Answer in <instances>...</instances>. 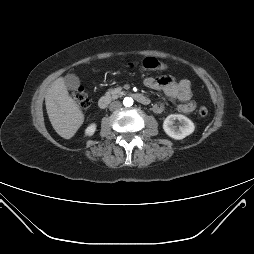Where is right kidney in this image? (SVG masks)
<instances>
[{"label":"right kidney","instance_id":"1","mask_svg":"<svg viewBox=\"0 0 254 254\" xmlns=\"http://www.w3.org/2000/svg\"><path fill=\"white\" fill-rule=\"evenodd\" d=\"M96 124L92 123L85 129V134L88 136H92L96 131Z\"/></svg>","mask_w":254,"mask_h":254}]
</instances>
